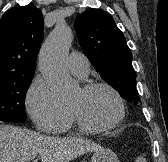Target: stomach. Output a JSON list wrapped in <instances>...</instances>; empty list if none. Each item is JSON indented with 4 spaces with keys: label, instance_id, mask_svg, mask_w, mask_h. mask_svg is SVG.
Returning <instances> with one entry per match:
<instances>
[{
    "label": "stomach",
    "instance_id": "obj_1",
    "mask_svg": "<svg viewBox=\"0 0 168 162\" xmlns=\"http://www.w3.org/2000/svg\"><path fill=\"white\" fill-rule=\"evenodd\" d=\"M91 162H119L117 155L110 149H100L95 151Z\"/></svg>",
    "mask_w": 168,
    "mask_h": 162
}]
</instances>
